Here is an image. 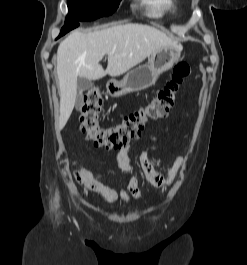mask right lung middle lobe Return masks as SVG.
Wrapping results in <instances>:
<instances>
[{
	"label": "right lung middle lobe",
	"mask_w": 247,
	"mask_h": 265,
	"mask_svg": "<svg viewBox=\"0 0 247 265\" xmlns=\"http://www.w3.org/2000/svg\"><path fill=\"white\" fill-rule=\"evenodd\" d=\"M121 0H67L68 15L65 24L90 21L116 12Z\"/></svg>",
	"instance_id": "1"
}]
</instances>
